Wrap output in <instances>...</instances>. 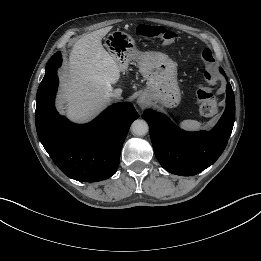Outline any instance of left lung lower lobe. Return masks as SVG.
<instances>
[{"label": "left lung lower lobe", "instance_id": "left-lung-lower-lobe-1", "mask_svg": "<svg viewBox=\"0 0 261 261\" xmlns=\"http://www.w3.org/2000/svg\"><path fill=\"white\" fill-rule=\"evenodd\" d=\"M224 74V71L220 69ZM226 109L210 131L185 132L165 115L146 110L142 115L150 128L155 155L161 166L172 174L191 176L212 165L224 151L235 120V99L227 85Z\"/></svg>", "mask_w": 261, "mask_h": 261}]
</instances>
